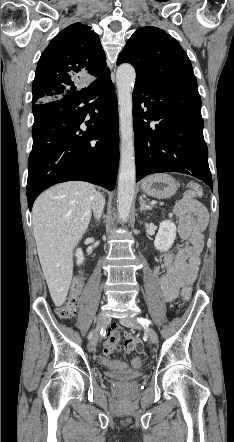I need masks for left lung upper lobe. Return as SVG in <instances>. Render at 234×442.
<instances>
[{
	"label": "left lung upper lobe",
	"mask_w": 234,
	"mask_h": 442,
	"mask_svg": "<svg viewBox=\"0 0 234 442\" xmlns=\"http://www.w3.org/2000/svg\"><path fill=\"white\" fill-rule=\"evenodd\" d=\"M130 63L136 82L197 86L191 62L180 44L156 27L138 29L121 51L117 65Z\"/></svg>",
	"instance_id": "obj_1"
}]
</instances>
